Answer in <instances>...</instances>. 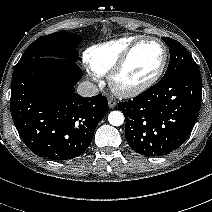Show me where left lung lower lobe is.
I'll return each instance as SVG.
<instances>
[{"instance_id":"1","label":"left lung lower lobe","mask_w":212,"mask_h":212,"mask_svg":"<svg viewBox=\"0 0 212 212\" xmlns=\"http://www.w3.org/2000/svg\"><path fill=\"white\" fill-rule=\"evenodd\" d=\"M202 100L201 74L188 69L118 104L126 120L125 137L145 156H163L179 148L198 118Z\"/></svg>"}]
</instances>
